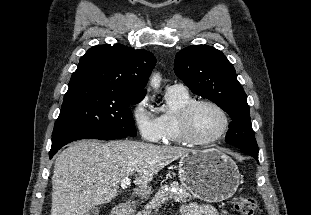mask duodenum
<instances>
[{"mask_svg": "<svg viewBox=\"0 0 311 215\" xmlns=\"http://www.w3.org/2000/svg\"><path fill=\"white\" fill-rule=\"evenodd\" d=\"M132 211L125 204H119L114 208L113 215H131Z\"/></svg>", "mask_w": 311, "mask_h": 215, "instance_id": "duodenum-1", "label": "duodenum"}]
</instances>
